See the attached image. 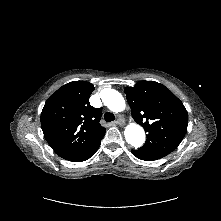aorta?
Segmentation results:
<instances>
[{
  "instance_id": "762f6f07",
  "label": "aorta",
  "mask_w": 221,
  "mask_h": 221,
  "mask_svg": "<svg viewBox=\"0 0 221 221\" xmlns=\"http://www.w3.org/2000/svg\"><path fill=\"white\" fill-rule=\"evenodd\" d=\"M104 104L113 112H121L125 108V100L121 93L114 89H106L103 93ZM126 141L138 148L143 145L145 141V132L143 128L136 124H129L124 131Z\"/></svg>"
}]
</instances>
